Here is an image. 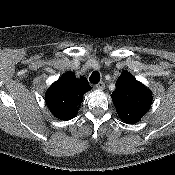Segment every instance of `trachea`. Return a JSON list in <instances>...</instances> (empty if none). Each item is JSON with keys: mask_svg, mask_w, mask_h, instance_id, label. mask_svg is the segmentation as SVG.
Wrapping results in <instances>:
<instances>
[{"mask_svg": "<svg viewBox=\"0 0 175 175\" xmlns=\"http://www.w3.org/2000/svg\"><path fill=\"white\" fill-rule=\"evenodd\" d=\"M89 81L97 84L100 81V73L98 71L92 72L91 76L89 77Z\"/></svg>", "mask_w": 175, "mask_h": 175, "instance_id": "1", "label": "trachea"}]
</instances>
